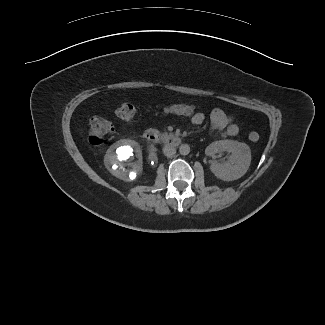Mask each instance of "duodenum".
<instances>
[{
    "label": "duodenum",
    "mask_w": 325,
    "mask_h": 325,
    "mask_svg": "<svg viewBox=\"0 0 325 325\" xmlns=\"http://www.w3.org/2000/svg\"><path fill=\"white\" fill-rule=\"evenodd\" d=\"M144 140L147 142H159L162 141L166 145L171 147H178L182 145V139L175 134L160 135L155 130H147L144 133Z\"/></svg>",
    "instance_id": "410a0bca"
}]
</instances>
